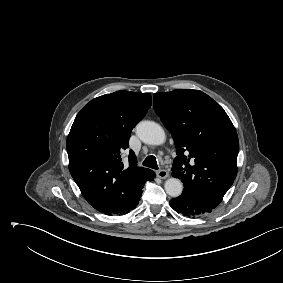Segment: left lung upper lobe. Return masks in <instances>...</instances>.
I'll use <instances>...</instances> for the list:
<instances>
[{"mask_svg": "<svg viewBox=\"0 0 283 283\" xmlns=\"http://www.w3.org/2000/svg\"><path fill=\"white\" fill-rule=\"evenodd\" d=\"M153 102L176 145L172 176L217 207L237 174L239 141L228 115L199 90L156 93Z\"/></svg>", "mask_w": 283, "mask_h": 283, "instance_id": "1", "label": "left lung upper lobe"}]
</instances>
